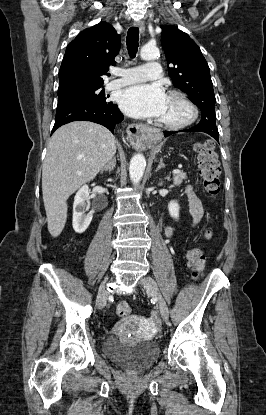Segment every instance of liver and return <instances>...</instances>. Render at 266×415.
<instances>
[{
	"label": "liver",
	"mask_w": 266,
	"mask_h": 415,
	"mask_svg": "<svg viewBox=\"0 0 266 415\" xmlns=\"http://www.w3.org/2000/svg\"><path fill=\"white\" fill-rule=\"evenodd\" d=\"M116 152L114 135L102 125L75 121L55 131L42 169L48 231L58 237L67 219V199L93 180Z\"/></svg>",
	"instance_id": "1"
}]
</instances>
